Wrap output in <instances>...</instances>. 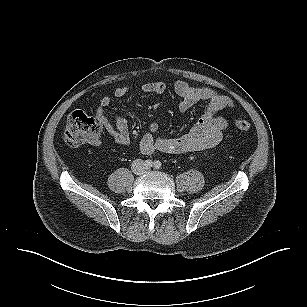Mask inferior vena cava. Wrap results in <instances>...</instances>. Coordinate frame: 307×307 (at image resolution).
Instances as JSON below:
<instances>
[{
	"label": "inferior vena cava",
	"instance_id": "1",
	"mask_svg": "<svg viewBox=\"0 0 307 307\" xmlns=\"http://www.w3.org/2000/svg\"><path fill=\"white\" fill-rule=\"evenodd\" d=\"M131 168H132V171L135 174H138V175L142 174L145 171V169H146V167L144 165V161L141 160V159L134 160L133 163H132V167Z\"/></svg>",
	"mask_w": 307,
	"mask_h": 307
}]
</instances>
